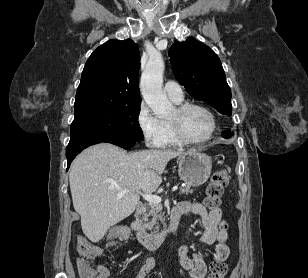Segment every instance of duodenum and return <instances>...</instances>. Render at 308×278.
<instances>
[{
    "label": "duodenum",
    "mask_w": 308,
    "mask_h": 278,
    "mask_svg": "<svg viewBox=\"0 0 308 278\" xmlns=\"http://www.w3.org/2000/svg\"><path fill=\"white\" fill-rule=\"evenodd\" d=\"M143 210H144L143 204H138L136 206V209L133 215L134 219L131 224L132 230L136 236V239L141 244H143L144 246L150 249H155L159 247L166 240V238L176 230L178 222H179V216L174 212V210H172L170 214L169 225L165 230L159 233H148V232L143 231L140 228L139 222H138V219L140 215L142 214Z\"/></svg>",
    "instance_id": "410a0bca"
}]
</instances>
